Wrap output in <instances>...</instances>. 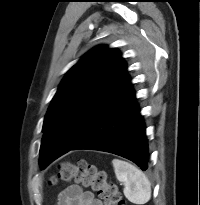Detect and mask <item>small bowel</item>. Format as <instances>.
Wrapping results in <instances>:
<instances>
[{"mask_svg": "<svg viewBox=\"0 0 200 205\" xmlns=\"http://www.w3.org/2000/svg\"><path fill=\"white\" fill-rule=\"evenodd\" d=\"M56 205H103L90 191H84L78 185H71L59 195Z\"/></svg>", "mask_w": 200, "mask_h": 205, "instance_id": "obj_1", "label": "small bowel"}]
</instances>
